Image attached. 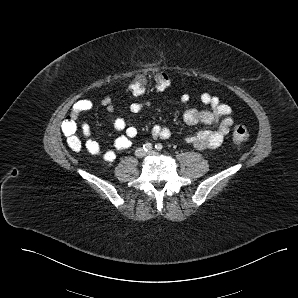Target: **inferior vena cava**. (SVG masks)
Listing matches in <instances>:
<instances>
[{
    "label": "inferior vena cava",
    "mask_w": 298,
    "mask_h": 298,
    "mask_svg": "<svg viewBox=\"0 0 298 298\" xmlns=\"http://www.w3.org/2000/svg\"><path fill=\"white\" fill-rule=\"evenodd\" d=\"M139 150H140V148H138V149L136 150V153H137L139 156H141L142 154L139 152Z\"/></svg>",
    "instance_id": "602c4592"
}]
</instances>
